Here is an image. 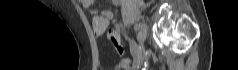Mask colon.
I'll return each mask as SVG.
<instances>
[{"label": "colon", "mask_w": 238, "mask_h": 70, "mask_svg": "<svg viewBox=\"0 0 238 70\" xmlns=\"http://www.w3.org/2000/svg\"><path fill=\"white\" fill-rule=\"evenodd\" d=\"M108 38L111 41V43H113L116 46L118 52L121 54L123 52V48H122V45L120 43L119 33H117L116 30L111 29L108 32Z\"/></svg>", "instance_id": "5ec220e1"}]
</instances>
